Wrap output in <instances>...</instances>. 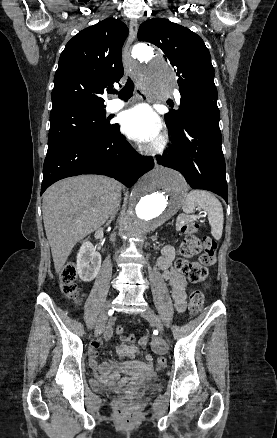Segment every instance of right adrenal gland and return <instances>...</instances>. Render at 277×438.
Here are the masks:
<instances>
[{
	"mask_svg": "<svg viewBox=\"0 0 277 438\" xmlns=\"http://www.w3.org/2000/svg\"><path fill=\"white\" fill-rule=\"evenodd\" d=\"M116 214H118V210H116L115 214H113V216H111V218H110L109 222H112V220H114V218H115Z\"/></svg>",
	"mask_w": 277,
	"mask_h": 438,
	"instance_id": "right-adrenal-gland-1",
	"label": "right adrenal gland"
}]
</instances>
